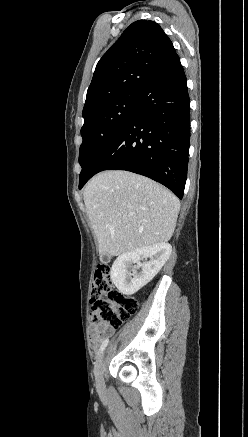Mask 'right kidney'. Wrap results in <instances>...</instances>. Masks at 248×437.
<instances>
[{
    "instance_id": "right-kidney-1",
    "label": "right kidney",
    "mask_w": 248,
    "mask_h": 437,
    "mask_svg": "<svg viewBox=\"0 0 248 437\" xmlns=\"http://www.w3.org/2000/svg\"><path fill=\"white\" fill-rule=\"evenodd\" d=\"M171 252V245L163 242L123 253L112 265L111 280L121 293L132 295L157 275ZM147 258L150 260L141 263V260ZM132 264L135 265L131 267ZM139 268L141 271L137 272Z\"/></svg>"
}]
</instances>
